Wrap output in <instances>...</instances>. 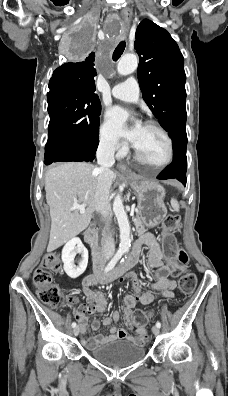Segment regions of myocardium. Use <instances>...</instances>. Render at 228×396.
<instances>
[{
    "label": "myocardium",
    "mask_w": 228,
    "mask_h": 396,
    "mask_svg": "<svg viewBox=\"0 0 228 396\" xmlns=\"http://www.w3.org/2000/svg\"><path fill=\"white\" fill-rule=\"evenodd\" d=\"M144 126L151 127V128L158 130L165 137V139L168 142L169 153H168L167 159L163 163L152 164L146 158H144V156L138 151V149L135 146H133L136 159L139 162H141L142 164H144L148 167L154 168V169H162V168L168 166L174 158V143H173L171 136L161 125H159L155 121L148 120L144 123Z\"/></svg>",
    "instance_id": "f54148a6"
}]
</instances>
